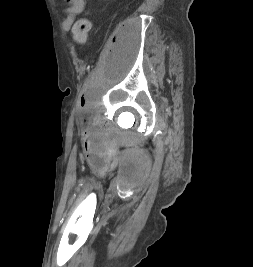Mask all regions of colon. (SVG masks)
Listing matches in <instances>:
<instances>
[{
	"label": "colon",
	"instance_id": "obj_1",
	"mask_svg": "<svg viewBox=\"0 0 253 267\" xmlns=\"http://www.w3.org/2000/svg\"><path fill=\"white\" fill-rule=\"evenodd\" d=\"M91 22L86 18L78 19L72 26L74 41L79 45H84L89 37Z\"/></svg>",
	"mask_w": 253,
	"mask_h": 267
}]
</instances>
